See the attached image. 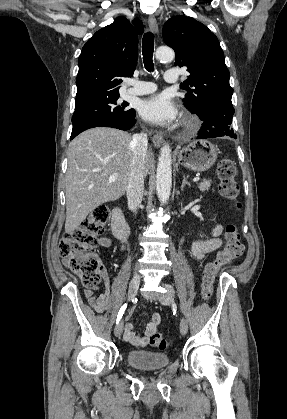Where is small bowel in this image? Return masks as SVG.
<instances>
[{
	"mask_svg": "<svg viewBox=\"0 0 287 419\" xmlns=\"http://www.w3.org/2000/svg\"><path fill=\"white\" fill-rule=\"evenodd\" d=\"M222 232V227L220 225H215L211 229V237L207 240L196 241L191 247V252L196 259H202L207 253L217 250L221 247L222 241L220 235ZM100 243L103 246H109L110 240L107 238H101ZM100 273L105 281L107 290L105 293L100 294L99 296L93 295L91 292H86L85 297L88 300V303L91 307L94 308L97 312H103L109 308L108 301V289H109V277L108 273L104 268L100 269ZM161 322V316L158 313L152 315V320L147 324L145 333L143 336H139L134 333L133 325L130 322L125 323L124 327V338L135 348H141L146 346L149 343V340L153 334L156 333L157 328Z\"/></svg>",
	"mask_w": 287,
	"mask_h": 419,
	"instance_id": "small-bowel-1",
	"label": "small bowel"
}]
</instances>
